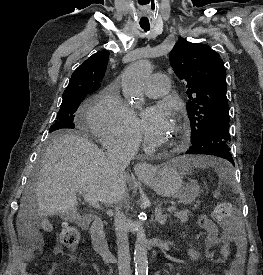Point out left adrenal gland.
Wrapping results in <instances>:
<instances>
[{
  "label": "left adrenal gland",
  "instance_id": "a2214340",
  "mask_svg": "<svg viewBox=\"0 0 263 275\" xmlns=\"http://www.w3.org/2000/svg\"><path fill=\"white\" fill-rule=\"evenodd\" d=\"M168 217H169L168 214H163V211H162L161 207H159L155 211V221L160 223L161 225H165Z\"/></svg>",
  "mask_w": 263,
  "mask_h": 275
}]
</instances>
